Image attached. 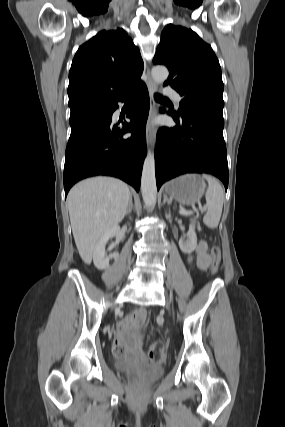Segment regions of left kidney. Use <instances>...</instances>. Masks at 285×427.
Returning <instances> with one entry per match:
<instances>
[{
    "mask_svg": "<svg viewBox=\"0 0 285 427\" xmlns=\"http://www.w3.org/2000/svg\"><path fill=\"white\" fill-rule=\"evenodd\" d=\"M179 247L184 253H192L197 247V236L194 225L190 224L186 239L179 241Z\"/></svg>",
    "mask_w": 285,
    "mask_h": 427,
    "instance_id": "obj_1",
    "label": "left kidney"
}]
</instances>
